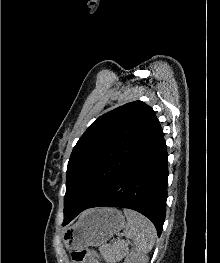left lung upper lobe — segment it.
<instances>
[{
    "instance_id": "5c2ea615",
    "label": "left lung upper lobe",
    "mask_w": 220,
    "mask_h": 263,
    "mask_svg": "<svg viewBox=\"0 0 220 263\" xmlns=\"http://www.w3.org/2000/svg\"><path fill=\"white\" fill-rule=\"evenodd\" d=\"M161 130L153 109L141 101L94 121L68 162L64 215L86 209Z\"/></svg>"
}]
</instances>
